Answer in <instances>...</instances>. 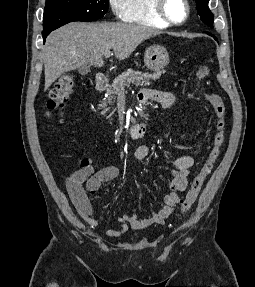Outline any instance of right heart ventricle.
<instances>
[{
    "mask_svg": "<svg viewBox=\"0 0 255 287\" xmlns=\"http://www.w3.org/2000/svg\"><path fill=\"white\" fill-rule=\"evenodd\" d=\"M139 33H149V32H139ZM112 39H114V38H112Z\"/></svg>",
    "mask_w": 255,
    "mask_h": 287,
    "instance_id": "e07e8e85",
    "label": "right heart ventricle"
}]
</instances>
